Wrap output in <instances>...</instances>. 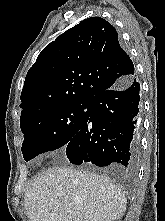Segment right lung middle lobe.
I'll return each mask as SVG.
<instances>
[{"instance_id": "dd1d6c3e", "label": "right lung middle lobe", "mask_w": 165, "mask_h": 221, "mask_svg": "<svg viewBox=\"0 0 165 221\" xmlns=\"http://www.w3.org/2000/svg\"><path fill=\"white\" fill-rule=\"evenodd\" d=\"M89 113V103L73 104L38 113L20 122L25 161L67 145L86 123Z\"/></svg>"}]
</instances>
